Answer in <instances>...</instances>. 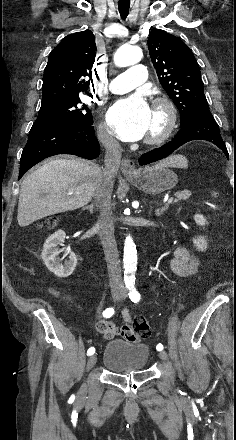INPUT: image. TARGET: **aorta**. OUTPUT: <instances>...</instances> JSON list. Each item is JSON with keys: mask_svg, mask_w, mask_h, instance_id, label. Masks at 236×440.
Returning a JSON list of instances; mask_svg holds the SVG:
<instances>
[{"mask_svg": "<svg viewBox=\"0 0 236 440\" xmlns=\"http://www.w3.org/2000/svg\"><path fill=\"white\" fill-rule=\"evenodd\" d=\"M143 53L136 46L120 47L114 55V63L118 67L134 65L141 61ZM137 269V251L132 237L127 236L124 243V276L126 280L134 278Z\"/></svg>", "mask_w": 236, "mask_h": 440, "instance_id": "aorta-1", "label": "aorta"}]
</instances>
